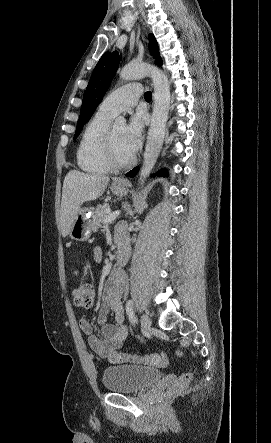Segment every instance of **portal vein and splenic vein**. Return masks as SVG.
Here are the masks:
<instances>
[{
  "mask_svg": "<svg viewBox=\"0 0 271 443\" xmlns=\"http://www.w3.org/2000/svg\"><path fill=\"white\" fill-rule=\"evenodd\" d=\"M119 214L120 212H113V214H109V216H106L105 220H103V223H106V225H108V223L114 222Z\"/></svg>",
  "mask_w": 271,
  "mask_h": 443,
  "instance_id": "18ae733b",
  "label": "portal vein and splenic vein"
}]
</instances>
